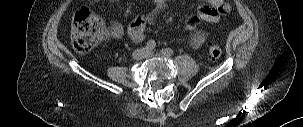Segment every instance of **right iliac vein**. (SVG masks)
Listing matches in <instances>:
<instances>
[{
    "label": "right iliac vein",
    "mask_w": 303,
    "mask_h": 127,
    "mask_svg": "<svg viewBox=\"0 0 303 127\" xmlns=\"http://www.w3.org/2000/svg\"><path fill=\"white\" fill-rule=\"evenodd\" d=\"M147 51L145 49L139 50L137 52V57H144L146 55Z\"/></svg>",
    "instance_id": "right-iliac-vein-1"
}]
</instances>
